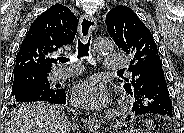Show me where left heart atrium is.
<instances>
[{
  "label": "left heart atrium",
  "instance_id": "39dd6f15",
  "mask_svg": "<svg viewBox=\"0 0 184 133\" xmlns=\"http://www.w3.org/2000/svg\"><path fill=\"white\" fill-rule=\"evenodd\" d=\"M73 100L86 108L101 109L108 104L109 94L99 79L90 78L76 85Z\"/></svg>",
  "mask_w": 184,
  "mask_h": 133
}]
</instances>
